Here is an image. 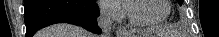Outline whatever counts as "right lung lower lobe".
<instances>
[{
	"instance_id": "obj_1",
	"label": "right lung lower lobe",
	"mask_w": 219,
	"mask_h": 37,
	"mask_svg": "<svg viewBox=\"0 0 219 37\" xmlns=\"http://www.w3.org/2000/svg\"><path fill=\"white\" fill-rule=\"evenodd\" d=\"M26 37L54 23H71L101 33L97 26L98 6L94 0H24Z\"/></svg>"
}]
</instances>
